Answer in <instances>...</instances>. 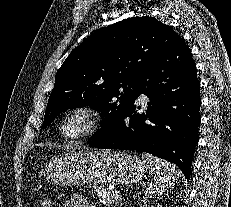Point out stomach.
<instances>
[{"mask_svg":"<svg viewBox=\"0 0 231 207\" xmlns=\"http://www.w3.org/2000/svg\"><path fill=\"white\" fill-rule=\"evenodd\" d=\"M145 162L120 151H73L53 158L45 168L48 182L57 185H116L141 181Z\"/></svg>","mask_w":231,"mask_h":207,"instance_id":"obj_1","label":"stomach"}]
</instances>
